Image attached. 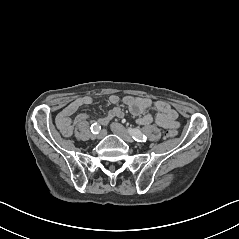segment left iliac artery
I'll use <instances>...</instances> for the list:
<instances>
[{
  "mask_svg": "<svg viewBox=\"0 0 239 239\" xmlns=\"http://www.w3.org/2000/svg\"><path fill=\"white\" fill-rule=\"evenodd\" d=\"M128 132L133 137V139L138 142H146L147 141V137L138 129L129 128Z\"/></svg>",
  "mask_w": 239,
  "mask_h": 239,
  "instance_id": "left-iliac-artery-1",
  "label": "left iliac artery"
}]
</instances>
